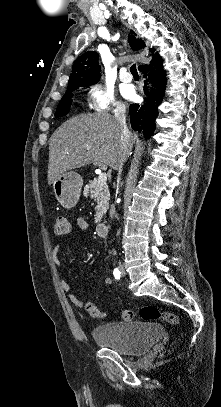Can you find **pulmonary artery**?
Here are the masks:
<instances>
[{"instance_id":"pulmonary-artery-1","label":"pulmonary artery","mask_w":221,"mask_h":407,"mask_svg":"<svg viewBox=\"0 0 221 407\" xmlns=\"http://www.w3.org/2000/svg\"><path fill=\"white\" fill-rule=\"evenodd\" d=\"M119 79L124 82L128 83L132 80L131 75L126 71V69H123L120 74H119Z\"/></svg>"}]
</instances>
